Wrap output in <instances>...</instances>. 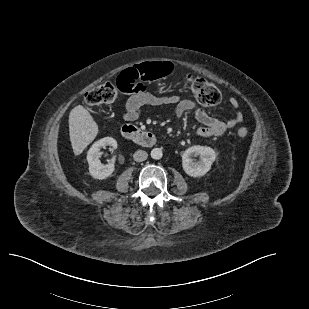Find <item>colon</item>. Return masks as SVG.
Wrapping results in <instances>:
<instances>
[{"label": "colon", "mask_w": 309, "mask_h": 309, "mask_svg": "<svg viewBox=\"0 0 309 309\" xmlns=\"http://www.w3.org/2000/svg\"><path fill=\"white\" fill-rule=\"evenodd\" d=\"M173 70L170 62H150L123 71L118 79L117 86L112 83H103L91 89L85 94V102L89 106H100L115 101L118 90L124 93L131 92L143 87L144 82H152L168 76ZM128 77L134 84V88H126L122 80ZM188 85L197 101L206 106H214L221 102L220 91L211 83L203 78L189 75L187 77ZM248 134L245 127L237 130V136L244 138Z\"/></svg>", "instance_id": "1"}]
</instances>
